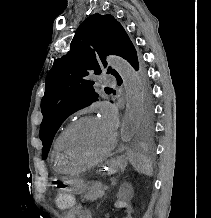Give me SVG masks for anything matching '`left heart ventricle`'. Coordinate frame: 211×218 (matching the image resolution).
I'll use <instances>...</instances> for the list:
<instances>
[{"mask_svg":"<svg viewBox=\"0 0 211 218\" xmlns=\"http://www.w3.org/2000/svg\"><path fill=\"white\" fill-rule=\"evenodd\" d=\"M113 131L99 118L77 126L68 136L65 158L74 162L91 160L103 153L112 143Z\"/></svg>","mask_w":211,"mask_h":218,"instance_id":"b2bd125f","label":"left heart ventricle"}]
</instances>
